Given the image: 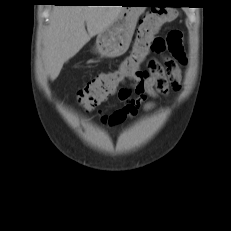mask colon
I'll return each instance as SVG.
<instances>
[{
    "label": "colon",
    "instance_id": "colon-1",
    "mask_svg": "<svg viewBox=\"0 0 231 231\" xmlns=\"http://www.w3.org/2000/svg\"><path fill=\"white\" fill-rule=\"evenodd\" d=\"M178 16L177 10L168 7L150 9L139 20L136 38L130 54L116 67L92 78L77 93V100L85 110H91L117 93L126 81L145 78L142 64L151 53L167 49L165 40L157 36L160 28Z\"/></svg>",
    "mask_w": 231,
    "mask_h": 231
}]
</instances>
